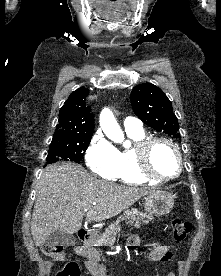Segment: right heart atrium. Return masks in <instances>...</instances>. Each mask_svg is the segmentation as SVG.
Wrapping results in <instances>:
<instances>
[{
	"label": "right heart atrium",
	"mask_w": 221,
	"mask_h": 276,
	"mask_svg": "<svg viewBox=\"0 0 221 276\" xmlns=\"http://www.w3.org/2000/svg\"><path fill=\"white\" fill-rule=\"evenodd\" d=\"M118 150L107 139L96 135L86 151L89 169L105 179H114L118 169Z\"/></svg>",
	"instance_id": "1"
}]
</instances>
